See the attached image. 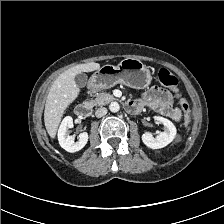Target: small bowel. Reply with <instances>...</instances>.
<instances>
[{
    "instance_id": "c3829d8e",
    "label": "small bowel",
    "mask_w": 224,
    "mask_h": 224,
    "mask_svg": "<svg viewBox=\"0 0 224 224\" xmlns=\"http://www.w3.org/2000/svg\"><path fill=\"white\" fill-rule=\"evenodd\" d=\"M142 107H150L157 110L161 115L179 120L181 112L173 107V97L165 90L153 87L147 90L141 99L134 100Z\"/></svg>"
}]
</instances>
